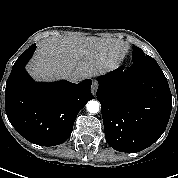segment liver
<instances>
[{
	"mask_svg": "<svg viewBox=\"0 0 178 178\" xmlns=\"http://www.w3.org/2000/svg\"><path fill=\"white\" fill-rule=\"evenodd\" d=\"M127 46L120 40L94 37H52L39 42L28 71L37 80L79 75L81 79L115 69Z\"/></svg>",
	"mask_w": 178,
	"mask_h": 178,
	"instance_id": "6515ba94",
	"label": "liver"
}]
</instances>
